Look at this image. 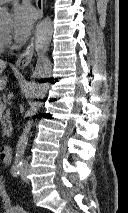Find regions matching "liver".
Returning <instances> with one entry per match:
<instances>
[{"label":"liver","instance_id":"liver-1","mask_svg":"<svg viewBox=\"0 0 128 213\" xmlns=\"http://www.w3.org/2000/svg\"><path fill=\"white\" fill-rule=\"evenodd\" d=\"M6 64L7 63L5 61L0 60V91L3 90L7 85V76L1 77L2 72L6 67Z\"/></svg>","mask_w":128,"mask_h":213}]
</instances>
